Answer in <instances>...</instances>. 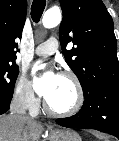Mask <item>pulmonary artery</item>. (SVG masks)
Segmentation results:
<instances>
[{"label":"pulmonary artery","mask_w":119,"mask_h":141,"mask_svg":"<svg viewBox=\"0 0 119 141\" xmlns=\"http://www.w3.org/2000/svg\"><path fill=\"white\" fill-rule=\"evenodd\" d=\"M59 48V42L56 38L51 37L35 48V54L40 56H49L54 54Z\"/></svg>","instance_id":"1"}]
</instances>
